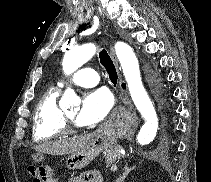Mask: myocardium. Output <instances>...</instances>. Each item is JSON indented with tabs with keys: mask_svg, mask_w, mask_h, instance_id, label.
I'll use <instances>...</instances> for the list:
<instances>
[{
	"mask_svg": "<svg viewBox=\"0 0 211 182\" xmlns=\"http://www.w3.org/2000/svg\"><path fill=\"white\" fill-rule=\"evenodd\" d=\"M63 119V131L65 133H76L79 129L78 125L75 123L74 119L70 118L66 113L62 115Z\"/></svg>",
	"mask_w": 211,
	"mask_h": 182,
	"instance_id": "f54148a6",
	"label": "myocardium"
}]
</instances>
